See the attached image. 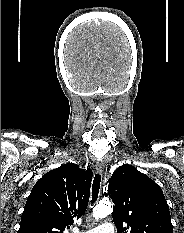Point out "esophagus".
<instances>
[{"label":"esophagus","instance_id":"obj_1","mask_svg":"<svg viewBox=\"0 0 184 233\" xmlns=\"http://www.w3.org/2000/svg\"><path fill=\"white\" fill-rule=\"evenodd\" d=\"M104 167H105V164H104L103 161L99 160V161L96 162V170H97V172L102 173L103 170H104Z\"/></svg>","mask_w":184,"mask_h":233}]
</instances>
